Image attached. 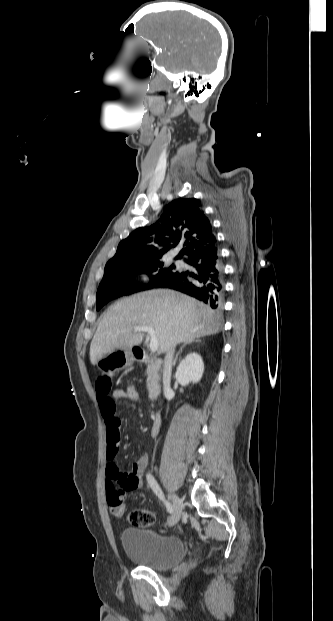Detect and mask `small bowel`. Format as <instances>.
Masks as SVG:
<instances>
[{
  "instance_id": "c3829d8e",
  "label": "small bowel",
  "mask_w": 333,
  "mask_h": 621,
  "mask_svg": "<svg viewBox=\"0 0 333 621\" xmlns=\"http://www.w3.org/2000/svg\"><path fill=\"white\" fill-rule=\"evenodd\" d=\"M111 387L112 383L108 376L103 375L98 378L96 383V390L98 395L100 412L105 422L107 437L106 455L109 461H113L115 459L119 449L120 420L117 417L115 401L121 400L123 397L122 389L118 388L114 390L111 394ZM146 463V457L140 456L139 458L134 460L130 470L126 472L133 482L130 489L118 487L115 481L111 477H109L107 473L106 494L107 503L110 509L116 507L124 509L126 495L129 492L140 489L142 487L143 471L145 469Z\"/></svg>"
}]
</instances>
